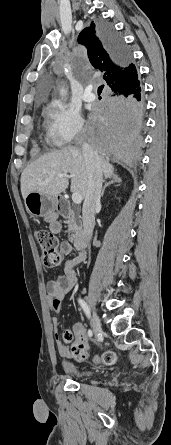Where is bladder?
Segmentation results:
<instances>
[{"label": "bladder", "instance_id": "31cf9c89", "mask_svg": "<svg viewBox=\"0 0 171 445\" xmlns=\"http://www.w3.org/2000/svg\"><path fill=\"white\" fill-rule=\"evenodd\" d=\"M70 372L77 378L79 379H84L87 377H90L92 375V372L88 371V370H77L75 368H73L72 366L69 367Z\"/></svg>", "mask_w": 171, "mask_h": 445}]
</instances>
